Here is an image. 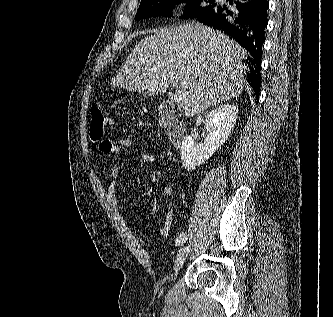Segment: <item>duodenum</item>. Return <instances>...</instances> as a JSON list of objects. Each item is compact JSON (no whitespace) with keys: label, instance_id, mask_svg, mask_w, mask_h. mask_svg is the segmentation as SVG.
<instances>
[{"label":"duodenum","instance_id":"1","mask_svg":"<svg viewBox=\"0 0 333 317\" xmlns=\"http://www.w3.org/2000/svg\"><path fill=\"white\" fill-rule=\"evenodd\" d=\"M159 116L169 141L175 148H180L186 139V128L184 124L175 117L172 105L169 103L161 104Z\"/></svg>","mask_w":333,"mask_h":317}]
</instances>
